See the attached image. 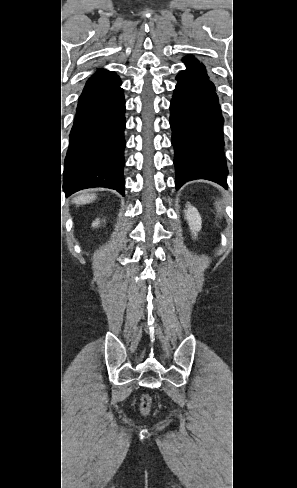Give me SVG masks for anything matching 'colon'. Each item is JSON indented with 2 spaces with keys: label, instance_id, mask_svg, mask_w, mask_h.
<instances>
[{
  "label": "colon",
  "instance_id": "colon-1",
  "mask_svg": "<svg viewBox=\"0 0 297 488\" xmlns=\"http://www.w3.org/2000/svg\"><path fill=\"white\" fill-rule=\"evenodd\" d=\"M152 400L148 395H143L140 400V411L143 415H147L151 409Z\"/></svg>",
  "mask_w": 297,
  "mask_h": 488
}]
</instances>
